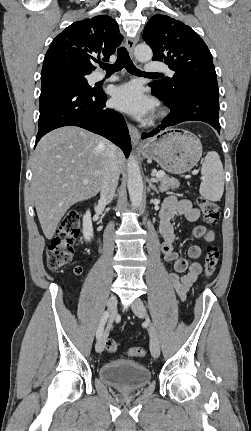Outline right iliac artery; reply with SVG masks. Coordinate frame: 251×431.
Instances as JSON below:
<instances>
[{"label": "right iliac artery", "mask_w": 251, "mask_h": 431, "mask_svg": "<svg viewBox=\"0 0 251 431\" xmlns=\"http://www.w3.org/2000/svg\"><path fill=\"white\" fill-rule=\"evenodd\" d=\"M108 317H109L108 311L104 312L103 315H102V317H101V319H100V323H99V326H98V329H97V332H96L97 339H99L102 336L103 330H104V326H105V324L107 322Z\"/></svg>", "instance_id": "82829eb1"}]
</instances>
